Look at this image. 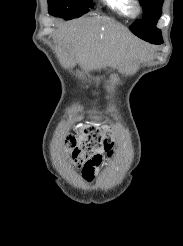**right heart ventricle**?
I'll return each mask as SVG.
<instances>
[{
	"mask_svg": "<svg viewBox=\"0 0 183 246\" xmlns=\"http://www.w3.org/2000/svg\"><path fill=\"white\" fill-rule=\"evenodd\" d=\"M109 9L121 16H128V0H101Z\"/></svg>",
	"mask_w": 183,
	"mask_h": 246,
	"instance_id": "right-heart-ventricle-1",
	"label": "right heart ventricle"
}]
</instances>
